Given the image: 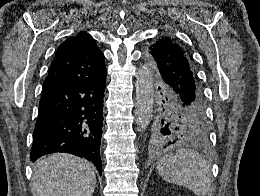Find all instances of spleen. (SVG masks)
Instances as JSON below:
<instances>
[{
    "mask_svg": "<svg viewBox=\"0 0 260 196\" xmlns=\"http://www.w3.org/2000/svg\"><path fill=\"white\" fill-rule=\"evenodd\" d=\"M157 172L166 182L189 188L196 196H206L211 188L209 162L188 148L177 150L175 156H163L157 162Z\"/></svg>",
    "mask_w": 260,
    "mask_h": 196,
    "instance_id": "obj_1",
    "label": "spleen"
}]
</instances>
